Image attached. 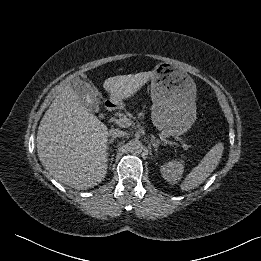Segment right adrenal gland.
<instances>
[{
    "instance_id": "1",
    "label": "right adrenal gland",
    "mask_w": 261,
    "mask_h": 261,
    "mask_svg": "<svg viewBox=\"0 0 261 261\" xmlns=\"http://www.w3.org/2000/svg\"><path fill=\"white\" fill-rule=\"evenodd\" d=\"M114 140H115V139L109 140L108 145H107V149H109V145L112 144V143L114 142ZM107 154H108V153H107ZM112 161H113V158H111V163H112Z\"/></svg>"
}]
</instances>
